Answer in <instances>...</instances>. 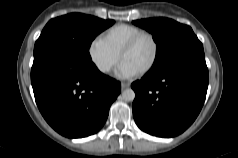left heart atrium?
Instances as JSON below:
<instances>
[{
  "label": "left heart atrium",
  "mask_w": 238,
  "mask_h": 158,
  "mask_svg": "<svg viewBox=\"0 0 238 158\" xmlns=\"http://www.w3.org/2000/svg\"><path fill=\"white\" fill-rule=\"evenodd\" d=\"M139 71L130 66L128 63L122 61L116 71V75L122 78H129L136 75Z\"/></svg>",
  "instance_id": "39dd6f15"
}]
</instances>
